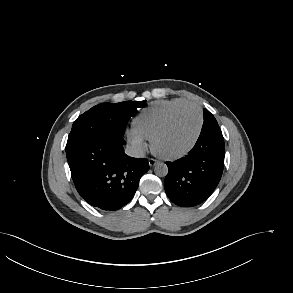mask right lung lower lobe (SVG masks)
<instances>
[{
    "instance_id": "right-lung-lower-lobe-1",
    "label": "right lung lower lobe",
    "mask_w": 293,
    "mask_h": 293,
    "mask_svg": "<svg viewBox=\"0 0 293 293\" xmlns=\"http://www.w3.org/2000/svg\"><path fill=\"white\" fill-rule=\"evenodd\" d=\"M125 144L123 136L105 134L66 152L75 187L90 205L118 210L133 198L149 163L126 155Z\"/></svg>"
}]
</instances>
